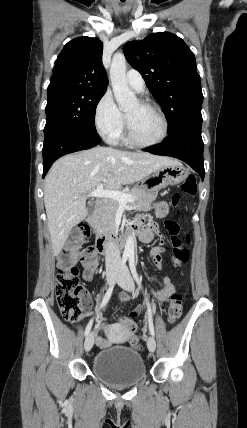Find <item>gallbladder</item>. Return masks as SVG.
I'll list each match as a JSON object with an SVG mask.
<instances>
[{"mask_svg":"<svg viewBox=\"0 0 247 428\" xmlns=\"http://www.w3.org/2000/svg\"><path fill=\"white\" fill-rule=\"evenodd\" d=\"M86 208H87L88 215H91L93 213V210H94V205L88 204Z\"/></svg>","mask_w":247,"mask_h":428,"instance_id":"obj_1","label":"gallbladder"}]
</instances>
